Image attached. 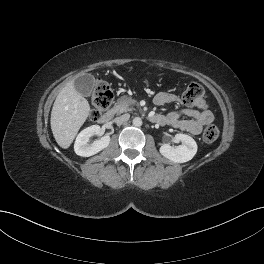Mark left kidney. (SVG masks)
<instances>
[{
  "label": "left kidney",
  "instance_id": "1",
  "mask_svg": "<svg viewBox=\"0 0 264 264\" xmlns=\"http://www.w3.org/2000/svg\"><path fill=\"white\" fill-rule=\"evenodd\" d=\"M175 138L182 142V145L173 147L170 144H163L159 151L165 158L176 162L184 163L191 160L197 152L195 140L186 134H176Z\"/></svg>",
  "mask_w": 264,
  "mask_h": 264
}]
</instances>
